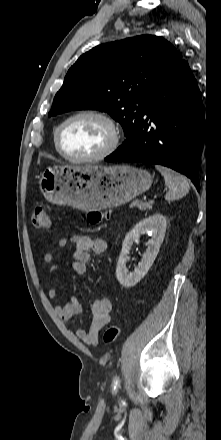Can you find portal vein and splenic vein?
<instances>
[{"mask_svg":"<svg viewBox=\"0 0 221 440\" xmlns=\"http://www.w3.org/2000/svg\"><path fill=\"white\" fill-rule=\"evenodd\" d=\"M153 202H154V199H150V200H149V203H153Z\"/></svg>","mask_w":221,"mask_h":440,"instance_id":"18ae733b","label":"portal vein and splenic vein"}]
</instances>
